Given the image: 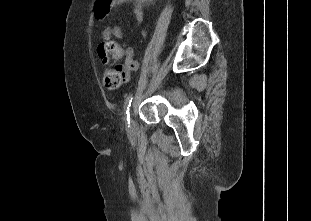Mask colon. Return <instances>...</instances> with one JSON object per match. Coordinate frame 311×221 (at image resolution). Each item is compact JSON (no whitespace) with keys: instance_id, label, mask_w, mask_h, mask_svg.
Masks as SVG:
<instances>
[{"instance_id":"1","label":"colon","mask_w":311,"mask_h":221,"mask_svg":"<svg viewBox=\"0 0 311 221\" xmlns=\"http://www.w3.org/2000/svg\"><path fill=\"white\" fill-rule=\"evenodd\" d=\"M117 0H99L95 1L94 6L97 10H94L93 15L97 22H103L105 17H110V12H113L114 7L111 4H116ZM98 53L106 63V69L104 72V82L107 87L118 86L119 80L124 76V70L121 66L110 65V58L113 60H121L123 52L119 46L113 41L105 38L102 44L98 48Z\"/></svg>"}]
</instances>
